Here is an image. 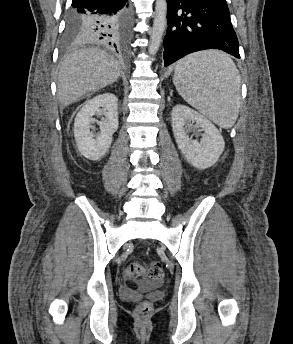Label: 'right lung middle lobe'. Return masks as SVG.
<instances>
[{"label":"right lung middle lobe","instance_id":"dd1d6c3e","mask_svg":"<svg viewBox=\"0 0 293 344\" xmlns=\"http://www.w3.org/2000/svg\"><path fill=\"white\" fill-rule=\"evenodd\" d=\"M86 16L79 12H73L71 10L68 18L67 29L64 34V43L71 45L74 43H80L84 41L82 36V26L86 22Z\"/></svg>","mask_w":293,"mask_h":344}]
</instances>
